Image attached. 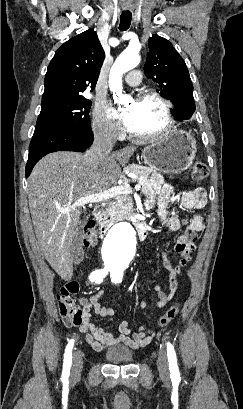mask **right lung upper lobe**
<instances>
[{"mask_svg":"<svg viewBox=\"0 0 243 409\" xmlns=\"http://www.w3.org/2000/svg\"><path fill=\"white\" fill-rule=\"evenodd\" d=\"M105 54L94 30L64 43L51 60L45 75L42 101L82 96L95 88Z\"/></svg>","mask_w":243,"mask_h":409,"instance_id":"obj_1","label":"right lung upper lobe"}]
</instances>
